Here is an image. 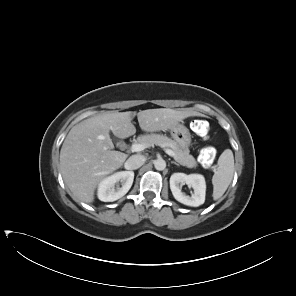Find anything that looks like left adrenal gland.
I'll return each instance as SVG.
<instances>
[{
    "mask_svg": "<svg viewBox=\"0 0 296 296\" xmlns=\"http://www.w3.org/2000/svg\"><path fill=\"white\" fill-rule=\"evenodd\" d=\"M172 164H175L177 166H180L178 163H176L175 161H171Z\"/></svg>",
    "mask_w": 296,
    "mask_h": 296,
    "instance_id": "obj_1",
    "label": "left adrenal gland"
}]
</instances>
